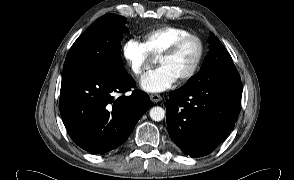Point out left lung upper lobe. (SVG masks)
<instances>
[{
    "label": "left lung upper lobe",
    "mask_w": 294,
    "mask_h": 180,
    "mask_svg": "<svg viewBox=\"0 0 294 180\" xmlns=\"http://www.w3.org/2000/svg\"><path fill=\"white\" fill-rule=\"evenodd\" d=\"M240 81L239 73L228 51L214 35L210 39V52L200 71L191 77L184 87L206 85L213 81Z\"/></svg>",
    "instance_id": "1"
}]
</instances>
